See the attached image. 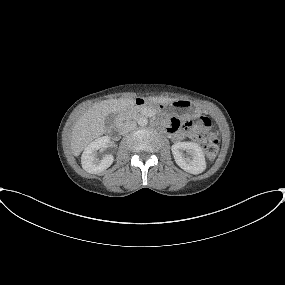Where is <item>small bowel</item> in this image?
<instances>
[{"label":"small bowel","instance_id":"small-bowel-1","mask_svg":"<svg viewBox=\"0 0 285 285\" xmlns=\"http://www.w3.org/2000/svg\"><path fill=\"white\" fill-rule=\"evenodd\" d=\"M168 132L171 136L172 139L174 140H181L184 138V133L181 132L180 130H178L177 128H175L173 126V124H171L169 127H168Z\"/></svg>","mask_w":285,"mask_h":285}]
</instances>
